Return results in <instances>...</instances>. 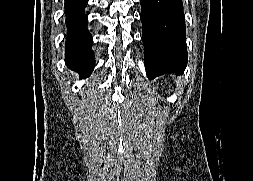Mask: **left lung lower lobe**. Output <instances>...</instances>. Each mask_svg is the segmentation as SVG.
I'll use <instances>...</instances> for the list:
<instances>
[{
	"instance_id": "obj_1",
	"label": "left lung lower lobe",
	"mask_w": 253,
	"mask_h": 181,
	"mask_svg": "<svg viewBox=\"0 0 253 181\" xmlns=\"http://www.w3.org/2000/svg\"><path fill=\"white\" fill-rule=\"evenodd\" d=\"M144 64L149 78L187 65L182 0H140Z\"/></svg>"
}]
</instances>
